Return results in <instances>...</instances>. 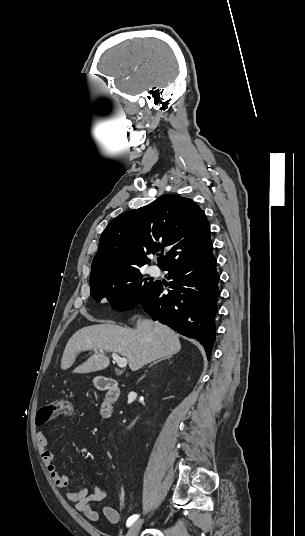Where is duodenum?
Instances as JSON below:
<instances>
[{
	"label": "duodenum",
	"mask_w": 305,
	"mask_h": 536,
	"mask_svg": "<svg viewBox=\"0 0 305 536\" xmlns=\"http://www.w3.org/2000/svg\"><path fill=\"white\" fill-rule=\"evenodd\" d=\"M97 387L100 390L106 391V399L102 405V415L106 418L110 417L113 413V405L117 401L120 391L115 385L114 381L108 378H99L97 380Z\"/></svg>",
	"instance_id": "duodenum-1"
}]
</instances>
